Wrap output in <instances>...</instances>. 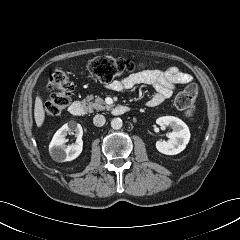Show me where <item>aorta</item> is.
<instances>
[{
	"label": "aorta",
	"mask_w": 240,
	"mask_h": 240,
	"mask_svg": "<svg viewBox=\"0 0 240 240\" xmlns=\"http://www.w3.org/2000/svg\"><path fill=\"white\" fill-rule=\"evenodd\" d=\"M123 122L120 118H114L111 121V127L115 130L121 129Z\"/></svg>",
	"instance_id": "aorta-1"
}]
</instances>
